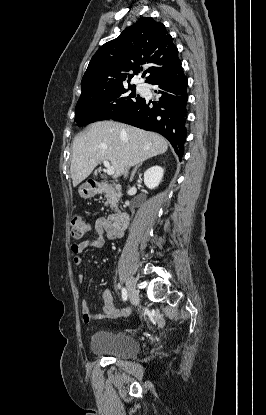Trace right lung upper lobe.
Segmentation results:
<instances>
[{
    "mask_svg": "<svg viewBox=\"0 0 266 415\" xmlns=\"http://www.w3.org/2000/svg\"><path fill=\"white\" fill-rule=\"evenodd\" d=\"M143 64L150 65L145 71L146 83L181 65L172 37L151 17L139 19L98 49L82 78L80 99L124 86ZM130 70L134 74L127 73Z\"/></svg>",
    "mask_w": 266,
    "mask_h": 415,
    "instance_id": "right-lung-upper-lobe-1",
    "label": "right lung upper lobe"
}]
</instances>
